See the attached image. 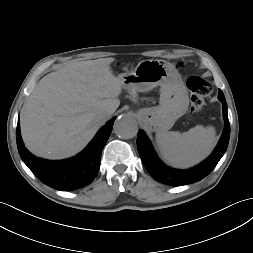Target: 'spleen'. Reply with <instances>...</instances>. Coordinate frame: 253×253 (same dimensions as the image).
Here are the masks:
<instances>
[{
  "instance_id": "1",
  "label": "spleen",
  "mask_w": 253,
  "mask_h": 253,
  "mask_svg": "<svg viewBox=\"0 0 253 253\" xmlns=\"http://www.w3.org/2000/svg\"><path fill=\"white\" fill-rule=\"evenodd\" d=\"M156 142L162 157L172 166L187 168L206 158L216 145L214 127L197 125L189 131L157 132Z\"/></svg>"
}]
</instances>
